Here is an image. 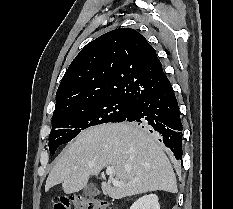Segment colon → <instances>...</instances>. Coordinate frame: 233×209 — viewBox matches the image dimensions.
Returning a JSON list of instances; mask_svg holds the SVG:
<instances>
[{"mask_svg": "<svg viewBox=\"0 0 233 209\" xmlns=\"http://www.w3.org/2000/svg\"><path fill=\"white\" fill-rule=\"evenodd\" d=\"M115 209L107 201L88 199L85 197H71L61 199L53 204L52 209Z\"/></svg>", "mask_w": 233, "mask_h": 209, "instance_id": "5ec220e1", "label": "colon"}]
</instances>
